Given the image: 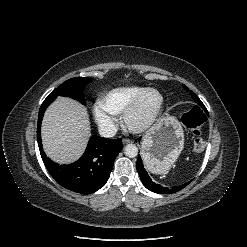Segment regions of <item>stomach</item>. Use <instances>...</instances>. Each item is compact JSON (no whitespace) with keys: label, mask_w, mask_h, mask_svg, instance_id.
<instances>
[{"label":"stomach","mask_w":247,"mask_h":247,"mask_svg":"<svg viewBox=\"0 0 247 247\" xmlns=\"http://www.w3.org/2000/svg\"><path fill=\"white\" fill-rule=\"evenodd\" d=\"M184 148V131L175 117H166L153 126L142 139L141 157L155 174L166 173Z\"/></svg>","instance_id":"0dacf381"}]
</instances>
